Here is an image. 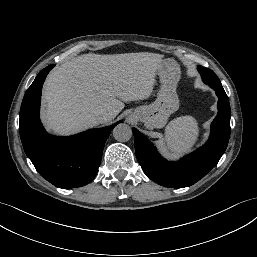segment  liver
<instances>
[{
  "instance_id": "6515ba94",
  "label": "liver",
  "mask_w": 257,
  "mask_h": 257,
  "mask_svg": "<svg viewBox=\"0 0 257 257\" xmlns=\"http://www.w3.org/2000/svg\"><path fill=\"white\" fill-rule=\"evenodd\" d=\"M162 58L149 52L89 53L62 64L44 84L45 125L67 135L97 126L100 113L110 112L115 118L125 106L122 101L151 95Z\"/></svg>"
}]
</instances>
